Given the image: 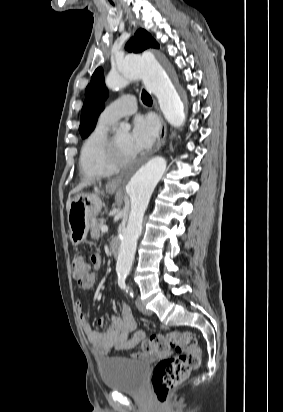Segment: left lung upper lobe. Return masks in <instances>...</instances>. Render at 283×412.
Segmentation results:
<instances>
[{
  "instance_id": "5c2ea615",
  "label": "left lung upper lobe",
  "mask_w": 283,
  "mask_h": 412,
  "mask_svg": "<svg viewBox=\"0 0 283 412\" xmlns=\"http://www.w3.org/2000/svg\"><path fill=\"white\" fill-rule=\"evenodd\" d=\"M125 48L130 52L138 53L147 48H159V44L147 31L139 29L134 37L128 41ZM107 97L108 90L104 84L103 71L101 68H97L86 88L85 101L81 111L79 132L83 138L94 130V122L104 109L103 102Z\"/></svg>"
}]
</instances>
